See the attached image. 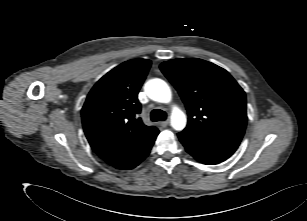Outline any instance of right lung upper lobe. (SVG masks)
Listing matches in <instances>:
<instances>
[{"label":"right lung upper lobe","mask_w":307,"mask_h":221,"mask_svg":"<svg viewBox=\"0 0 307 221\" xmlns=\"http://www.w3.org/2000/svg\"><path fill=\"white\" fill-rule=\"evenodd\" d=\"M151 61H126L104 75L91 89L82 108L85 135L94 152L117 167L142 150L159 133L139 118L137 99Z\"/></svg>","instance_id":"1"}]
</instances>
